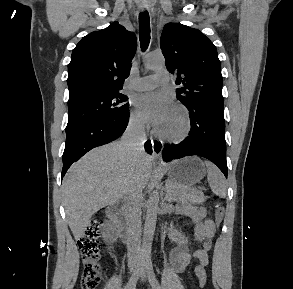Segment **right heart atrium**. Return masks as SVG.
<instances>
[{
  "instance_id": "right-heart-atrium-1",
  "label": "right heart atrium",
  "mask_w": 293,
  "mask_h": 289,
  "mask_svg": "<svg viewBox=\"0 0 293 289\" xmlns=\"http://www.w3.org/2000/svg\"><path fill=\"white\" fill-rule=\"evenodd\" d=\"M129 127L137 133H143L147 129L145 118L137 110H131L130 112Z\"/></svg>"
}]
</instances>
